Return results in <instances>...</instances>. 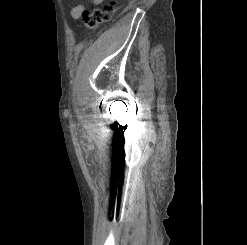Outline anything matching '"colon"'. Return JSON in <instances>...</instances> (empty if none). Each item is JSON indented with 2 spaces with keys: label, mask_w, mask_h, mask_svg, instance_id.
I'll return each mask as SVG.
<instances>
[{
  "label": "colon",
  "mask_w": 247,
  "mask_h": 245,
  "mask_svg": "<svg viewBox=\"0 0 247 245\" xmlns=\"http://www.w3.org/2000/svg\"><path fill=\"white\" fill-rule=\"evenodd\" d=\"M116 0H107L104 4L88 10L83 15V25L87 29H96L110 21L116 11Z\"/></svg>",
  "instance_id": "obj_1"
}]
</instances>
